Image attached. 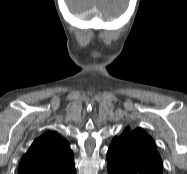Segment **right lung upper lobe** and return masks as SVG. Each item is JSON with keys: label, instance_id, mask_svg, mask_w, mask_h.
<instances>
[{"label": "right lung upper lobe", "instance_id": "1", "mask_svg": "<svg viewBox=\"0 0 187 174\" xmlns=\"http://www.w3.org/2000/svg\"><path fill=\"white\" fill-rule=\"evenodd\" d=\"M73 153L68 142L56 132L38 137L22 157L18 174H73Z\"/></svg>", "mask_w": 187, "mask_h": 174}]
</instances>
